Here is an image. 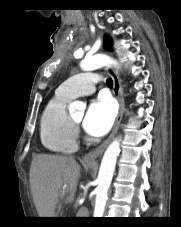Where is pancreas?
Segmentation results:
<instances>
[{
	"label": "pancreas",
	"instance_id": "cf45deb5",
	"mask_svg": "<svg viewBox=\"0 0 181 227\" xmlns=\"http://www.w3.org/2000/svg\"><path fill=\"white\" fill-rule=\"evenodd\" d=\"M87 209L82 207L78 210L77 217H86Z\"/></svg>",
	"mask_w": 181,
	"mask_h": 227
}]
</instances>
